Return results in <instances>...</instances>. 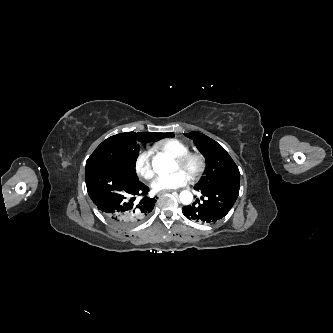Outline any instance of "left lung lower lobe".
I'll return each instance as SVG.
<instances>
[{"instance_id":"obj_1","label":"left lung lower lobe","mask_w":333,"mask_h":333,"mask_svg":"<svg viewBox=\"0 0 333 333\" xmlns=\"http://www.w3.org/2000/svg\"><path fill=\"white\" fill-rule=\"evenodd\" d=\"M239 186L240 183L233 182L210 188L194 187L195 190L200 191L207 198L203 202L196 199V202L192 205L184 206L182 212L188 219L196 222L202 224L215 223L225 217L234 205L239 194ZM224 194L228 195V200L218 202L217 199Z\"/></svg>"}]
</instances>
